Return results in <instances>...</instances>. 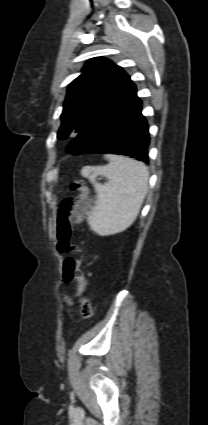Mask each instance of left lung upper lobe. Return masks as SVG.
Instances as JSON below:
<instances>
[{
	"mask_svg": "<svg viewBox=\"0 0 208 425\" xmlns=\"http://www.w3.org/2000/svg\"><path fill=\"white\" fill-rule=\"evenodd\" d=\"M132 83L123 69L105 58L88 61L82 74L68 86L61 115L58 139L82 131L116 96ZM79 155L80 147L74 139L67 147Z\"/></svg>",
	"mask_w": 208,
	"mask_h": 425,
	"instance_id": "obj_1",
	"label": "left lung upper lobe"
}]
</instances>
